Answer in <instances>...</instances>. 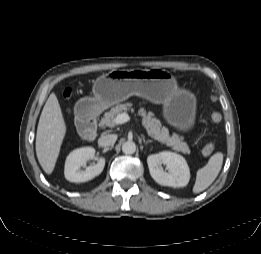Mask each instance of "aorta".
<instances>
[{
	"label": "aorta",
	"mask_w": 261,
	"mask_h": 254,
	"mask_svg": "<svg viewBox=\"0 0 261 254\" xmlns=\"http://www.w3.org/2000/svg\"><path fill=\"white\" fill-rule=\"evenodd\" d=\"M124 154H133L136 151V144L133 141H126L122 145Z\"/></svg>",
	"instance_id": "obj_1"
}]
</instances>
